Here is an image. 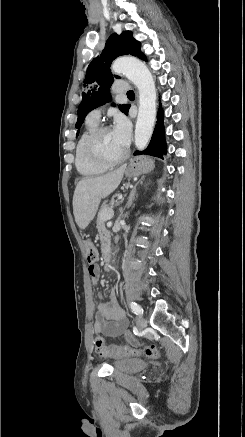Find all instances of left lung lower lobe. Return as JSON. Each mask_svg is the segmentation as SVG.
Returning a JSON list of instances; mask_svg holds the SVG:
<instances>
[{"mask_svg":"<svg viewBox=\"0 0 245 437\" xmlns=\"http://www.w3.org/2000/svg\"><path fill=\"white\" fill-rule=\"evenodd\" d=\"M140 58L146 61V57L144 54ZM126 114H128V112ZM166 153H167V145L165 142V134H164L163 110L160 107L157 114V125L155 126L148 147L144 151H136L134 155L146 154V155L163 158V155Z\"/></svg>","mask_w":245,"mask_h":437,"instance_id":"1","label":"left lung lower lobe"}]
</instances>
